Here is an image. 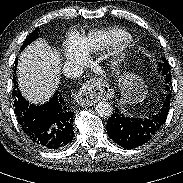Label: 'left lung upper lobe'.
Returning a JSON list of instances; mask_svg holds the SVG:
<instances>
[{
  "instance_id": "1",
  "label": "left lung upper lobe",
  "mask_w": 183,
  "mask_h": 183,
  "mask_svg": "<svg viewBox=\"0 0 183 183\" xmlns=\"http://www.w3.org/2000/svg\"><path fill=\"white\" fill-rule=\"evenodd\" d=\"M158 71L161 73L163 77H166V74H170V66L168 62L164 59L162 63L158 66Z\"/></svg>"
}]
</instances>
